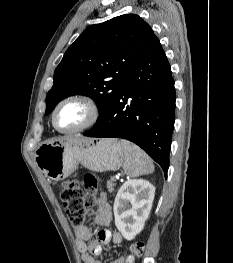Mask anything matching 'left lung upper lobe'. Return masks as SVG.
Here are the masks:
<instances>
[{"instance_id":"1","label":"left lung upper lobe","mask_w":233,"mask_h":263,"mask_svg":"<svg viewBox=\"0 0 233 263\" xmlns=\"http://www.w3.org/2000/svg\"><path fill=\"white\" fill-rule=\"evenodd\" d=\"M155 38L151 27L135 14L85 29L55 70L45 113L49 114L62 99L81 94L96 101L98 123L116 101L131 68Z\"/></svg>"}]
</instances>
